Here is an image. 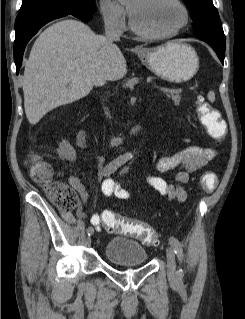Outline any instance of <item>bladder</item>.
<instances>
[{
	"label": "bladder",
	"mask_w": 245,
	"mask_h": 319,
	"mask_svg": "<svg viewBox=\"0 0 245 319\" xmlns=\"http://www.w3.org/2000/svg\"><path fill=\"white\" fill-rule=\"evenodd\" d=\"M105 258L120 266H133L145 263L148 253L138 241L126 237H114L104 247Z\"/></svg>",
	"instance_id": "31cf9c89"
}]
</instances>
